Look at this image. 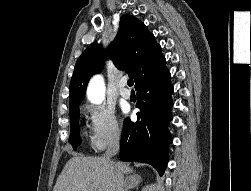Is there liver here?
Masks as SVG:
<instances>
[{
  "mask_svg": "<svg viewBox=\"0 0 251 191\" xmlns=\"http://www.w3.org/2000/svg\"><path fill=\"white\" fill-rule=\"evenodd\" d=\"M127 171H133V167L123 161L75 155L63 167L53 191H116L117 175L123 177Z\"/></svg>",
  "mask_w": 251,
  "mask_h": 191,
  "instance_id": "1",
  "label": "liver"
}]
</instances>
